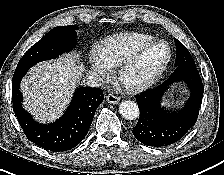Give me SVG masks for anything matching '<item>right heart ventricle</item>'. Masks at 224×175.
<instances>
[{"instance_id":"e07e8e85","label":"right heart ventricle","mask_w":224,"mask_h":175,"mask_svg":"<svg viewBox=\"0 0 224 175\" xmlns=\"http://www.w3.org/2000/svg\"><path fill=\"white\" fill-rule=\"evenodd\" d=\"M154 39L153 36L140 32L114 34L101 43L98 52L110 67H118L138 48Z\"/></svg>"}]
</instances>
